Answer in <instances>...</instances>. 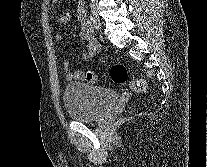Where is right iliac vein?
Wrapping results in <instances>:
<instances>
[{"label": "right iliac vein", "instance_id": "obj_1", "mask_svg": "<svg viewBox=\"0 0 207 167\" xmlns=\"http://www.w3.org/2000/svg\"><path fill=\"white\" fill-rule=\"evenodd\" d=\"M92 19H93V25H94V27L96 29H100L101 23H100V20H99L97 14H96V10L95 9L92 10Z\"/></svg>", "mask_w": 207, "mask_h": 167}]
</instances>
